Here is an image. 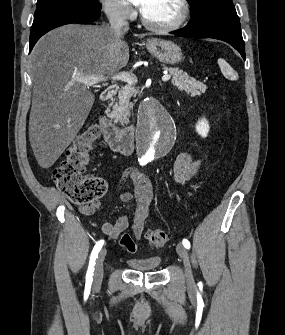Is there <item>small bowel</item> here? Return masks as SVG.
<instances>
[{"label":"small bowel","mask_w":285,"mask_h":335,"mask_svg":"<svg viewBox=\"0 0 285 335\" xmlns=\"http://www.w3.org/2000/svg\"><path fill=\"white\" fill-rule=\"evenodd\" d=\"M200 165L201 161L195 159L192 154L188 152L179 154L173 166L175 183L183 184L191 179L197 173ZM130 177L134 179L133 192L122 191L120 199L125 203L136 201L132 230L135 237L139 239L150 213L153 200V184L146 175L136 173L133 168H126L122 172L120 184ZM99 208L100 202L96 200L88 205H80L79 211L84 215L90 216L97 212ZM129 224L130 220L127 216H120L115 223L105 222L101 226V230L110 239H117L129 227Z\"/></svg>","instance_id":"c3829d8e"}]
</instances>
